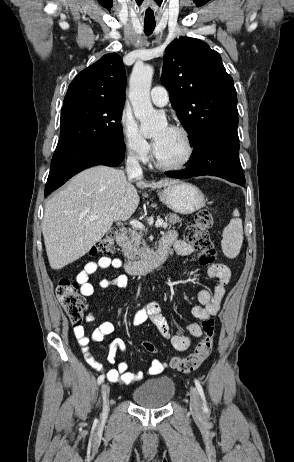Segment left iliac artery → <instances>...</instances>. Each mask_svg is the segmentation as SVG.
<instances>
[{
  "instance_id": "1",
  "label": "left iliac artery",
  "mask_w": 294,
  "mask_h": 462,
  "mask_svg": "<svg viewBox=\"0 0 294 462\" xmlns=\"http://www.w3.org/2000/svg\"><path fill=\"white\" fill-rule=\"evenodd\" d=\"M195 385H196V388L201 396V399L203 401V410L204 411H207L208 408H207V403H206V398H205V394H204V391H203V388L199 382V380L195 379Z\"/></svg>"
}]
</instances>
